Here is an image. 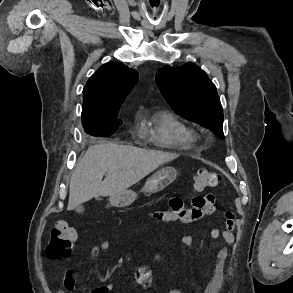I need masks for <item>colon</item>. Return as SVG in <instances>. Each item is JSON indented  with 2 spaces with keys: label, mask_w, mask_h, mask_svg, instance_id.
I'll list each match as a JSON object with an SVG mask.
<instances>
[{
  "label": "colon",
  "mask_w": 293,
  "mask_h": 293,
  "mask_svg": "<svg viewBox=\"0 0 293 293\" xmlns=\"http://www.w3.org/2000/svg\"><path fill=\"white\" fill-rule=\"evenodd\" d=\"M221 174L216 171L199 169L193 177V188L195 191H203L208 188L217 187L221 183ZM196 201V200H195ZM236 218L231 212L227 213V228L235 227ZM76 230L65 222L59 221L55 224L51 238L46 246V254L49 258H67L71 255L73 243L76 239Z\"/></svg>",
  "instance_id": "5ec220e1"
}]
</instances>
